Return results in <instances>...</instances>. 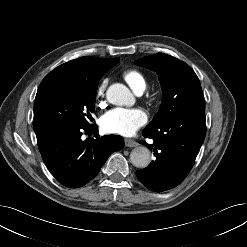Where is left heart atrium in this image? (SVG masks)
I'll return each mask as SVG.
<instances>
[{
	"label": "left heart atrium",
	"mask_w": 247,
	"mask_h": 247,
	"mask_svg": "<svg viewBox=\"0 0 247 247\" xmlns=\"http://www.w3.org/2000/svg\"><path fill=\"white\" fill-rule=\"evenodd\" d=\"M147 121L146 113L138 108H115L105 113L100 120L103 131L123 136L132 135Z\"/></svg>",
	"instance_id": "obj_1"
}]
</instances>
